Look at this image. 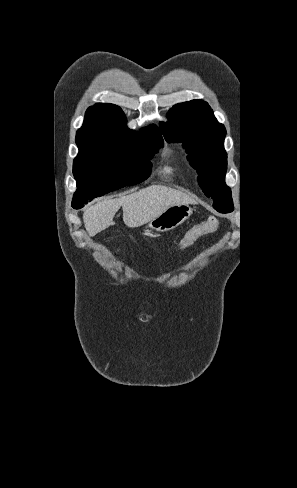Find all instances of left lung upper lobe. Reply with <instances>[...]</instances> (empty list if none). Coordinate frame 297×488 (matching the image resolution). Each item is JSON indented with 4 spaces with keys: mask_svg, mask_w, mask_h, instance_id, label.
Masks as SVG:
<instances>
[{
    "mask_svg": "<svg viewBox=\"0 0 297 488\" xmlns=\"http://www.w3.org/2000/svg\"><path fill=\"white\" fill-rule=\"evenodd\" d=\"M167 142H184L190 164L197 170L198 183L221 213L234 210L231 190L225 184L227 154L226 130L213 115L207 102L196 99L174 105L168 122L160 123Z\"/></svg>",
    "mask_w": 297,
    "mask_h": 488,
    "instance_id": "obj_1",
    "label": "left lung upper lobe"
}]
</instances>
